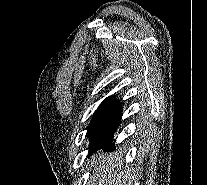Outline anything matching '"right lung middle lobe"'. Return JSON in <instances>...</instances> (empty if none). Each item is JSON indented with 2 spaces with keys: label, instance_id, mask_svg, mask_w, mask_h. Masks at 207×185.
<instances>
[{
  "label": "right lung middle lobe",
  "instance_id": "dd1d6c3e",
  "mask_svg": "<svg viewBox=\"0 0 207 185\" xmlns=\"http://www.w3.org/2000/svg\"><path fill=\"white\" fill-rule=\"evenodd\" d=\"M122 113L119 111H96L87 130L90 137L89 155L98 149L99 142L120 122Z\"/></svg>",
  "mask_w": 207,
  "mask_h": 185
}]
</instances>
